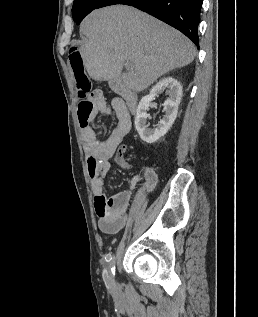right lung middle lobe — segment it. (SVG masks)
Segmentation results:
<instances>
[{
	"label": "right lung middle lobe",
	"mask_w": 258,
	"mask_h": 317,
	"mask_svg": "<svg viewBox=\"0 0 258 317\" xmlns=\"http://www.w3.org/2000/svg\"><path fill=\"white\" fill-rule=\"evenodd\" d=\"M86 2L87 0H74L72 7V17L74 21H76L78 14L80 13Z\"/></svg>",
	"instance_id": "right-lung-middle-lobe-1"
}]
</instances>
